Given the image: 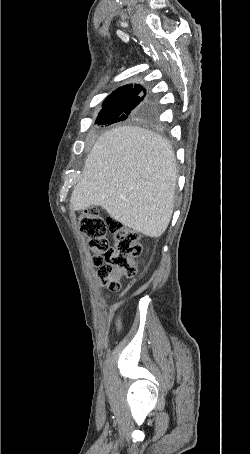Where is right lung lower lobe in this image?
<instances>
[{
	"mask_svg": "<svg viewBox=\"0 0 250 454\" xmlns=\"http://www.w3.org/2000/svg\"><path fill=\"white\" fill-rule=\"evenodd\" d=\"M153 108L155 109V111L157 113V111H158L157 107L154 105Z\"/></svg>",
	"mask_w": 250,
	"mask_h": 454,
	"instance_id": "1",
	"label": "right lung lower lobe"
}]
</instances>
